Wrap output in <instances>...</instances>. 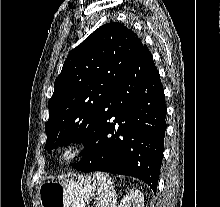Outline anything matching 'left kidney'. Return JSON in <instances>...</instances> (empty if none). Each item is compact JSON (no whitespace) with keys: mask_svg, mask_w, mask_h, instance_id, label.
Returning a JSON list of instances; mask_svg holds the SVG:
<instances>
[{"mask_svg":"<svg viewBox=\"0 0 220 207\" xmlns=\"http://www.w3.org/2000/svg\"><path fill=\"white\" fill-rule=\"evenodd\" d=\"M118 207H144V196L139 190H130Z\"/></svg>","mask_w":220,"mask_h":207,"instance_id":"left-kidney-1","label":"left kidney"}]
</instances>
